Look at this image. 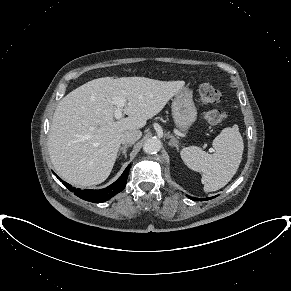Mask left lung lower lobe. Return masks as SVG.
Returning <instances> with one entry per match:
<instances>
[{"label":"left lung lower lobe","mask_w":291,"mask_h":291,"mask_svg":"<svg viewBox=\"0 0 291 291\" xmlns=\"http://www.w3.org/2000/svg\"><path fill=\"white\" fill-rule=\"evenodd\" d=\"M187 197L190 198V199H192V200H195V201L196 200H201V201L203 200V198H201V199H199V198H193V197L188 196V195H187ZM209 199H211V198H205V200H209Z\"/></svg>","instance_id":"obj_1"}]
</instances>
